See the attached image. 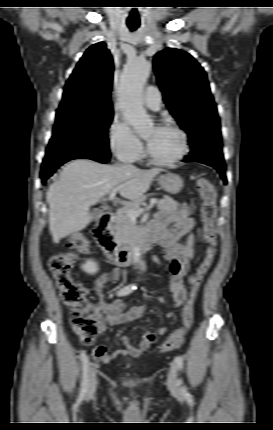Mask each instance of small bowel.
I'll use <instances>...</instances> for the list:
<instances>
[{
	"label": "small bowel",
	"mask_w": 273,
	"mask_h": 430,
	"mask_svg": "<svg viewBox=\"0 0 273 430\" xmlns=\"http://www.w3.org/2000/svg\"><path fill=\"white\" fill-rule=\"evenodd\" d=\"M173 221L176 222L175 225L168 229L167 225ZM193 225L194 220L189 216L187 206L184 205L174 212H160L148 228V232L156 236L157 244L164 249L162 259L154 256L153 261L158 265H167L170 270L169 289L175 307H180L186 300L187 291L184 277L188 276L189 284L194 281V275L189 274L193 258L194 238L191 234ZM184 237L186 238L185 242H181ZM123 276L124 272L121 269H114L100 276L94 284L93 290L98 300V329L101 333L106 331L107 325L119 326L139 320L146 311V306L143 305H135L125 310V303L122 300H105V286L118 281ZM160 301L164 302L162 298ZM173 316V312L167 313V317ZM167 331V327H160L156 331H147L137 344L132 343L129 337L121 335L119 341L124 349L109 353L104 344H99L94 347L93 356L104 363L117 357H139L152 345H155L159 341V336L164 335Z\"/></svg>",
	"instance_id": "1"
}]
</instances>
